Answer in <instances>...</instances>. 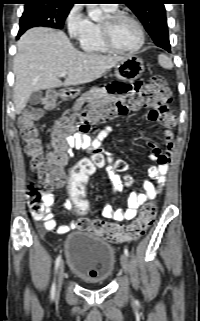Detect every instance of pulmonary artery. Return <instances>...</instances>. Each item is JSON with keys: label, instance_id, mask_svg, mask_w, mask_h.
<instances>
[{"label": "pulmonary artery", "instance_id": "obj_1", "mask_svg": "<svg viewBox=\"0 0 200 321\" xmlns=\"http://www.w3.org/2000/svg\"><path fill=\"white\" fill-rule=\"evenodd\" d=\"M106 7H109V8H115L116 5L115 4H108V5H105Z\"/></svg>", "mask_w": 200, "mask_h": 321}]
</instances>
